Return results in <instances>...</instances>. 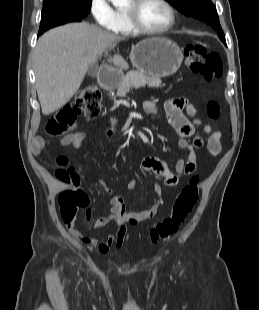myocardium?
<instances>
[{"label":"myocardium","instance_id":"myocardium-1","mask_svg":"<svg viewBox=\"0 0 259 310\" xmlns=\"http://www.w3.org/2000/svg\"><path fill=\"white\" fill-rule=\"evenodd\" d=\"M144 1L145 0H131V7L124 11L129 26L133 32L144 35H163L173 29L177 21V14L175 8L168 0H159V2H161L168 10L170 16L169 22L159 29H151L143 26L138 19V10Z\"/></svg>","mask_w":259,"mask_h":310}]
</instances>
